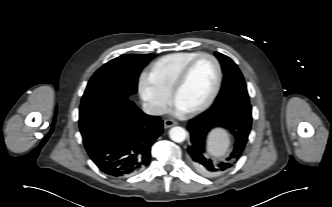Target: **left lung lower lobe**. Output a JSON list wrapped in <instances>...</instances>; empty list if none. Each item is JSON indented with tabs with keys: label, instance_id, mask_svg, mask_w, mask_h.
Instances as JSON below:
<instances>
[{
	"label": "left lung lower lobe",
	"instance_id": "0a47b994",
	"mask_svg": "<svg viewBox=\"0 0 332 207\" xmlns=\"http://www.w3.org/2000/svg\"><path fill=\"white\" fill-rule=\"evenodd\" d=\"M252 107L249 102L234 101L212 107L188 123L190 165L201 175L218 176L229 170L241 157L251 130ZM214 127H223L234 135L233 150L225 159L213 161L206 154V138Z\"/></svg>",
	"mask_w": 332,
	"mask_h": 207
}]
</instances>
